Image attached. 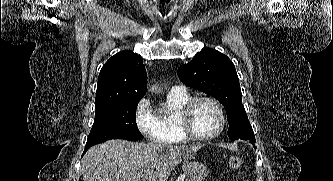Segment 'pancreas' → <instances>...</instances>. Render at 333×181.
<instances>
[{"label": "pancreas", "instance_id": "obj_1", "mask_svg": "<svg viewBox=\"0 0 333 181\" xmlns=\"http://www.w3.org/2000/svg\"><path fill=\"white\" fill-rule=\"evenodd\" d=\"M186 181H193L192 179L186 180Z\"/></svg>", "mask_w": 333, "mask_h": 181}]
</instances>
